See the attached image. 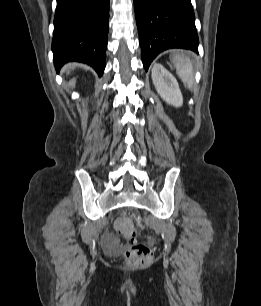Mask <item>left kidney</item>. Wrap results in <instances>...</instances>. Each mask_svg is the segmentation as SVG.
<instances>
[{"label": "left kidney", "mask_w": 261, "mask_h": 306, "mask_svg": "<svg viewBox=\"0 0 261 306\" xmlns=\"http://www.w3.org/2000/svg\"><path fill=\"white\" fill-rule=\"evenodd\" d=\"M152 81L160 97L175 107L183 104V97L174 76L162 65L155 64L152 68Z\"/></svg>", "instance_id": "5707ae66"}]
</instances>
